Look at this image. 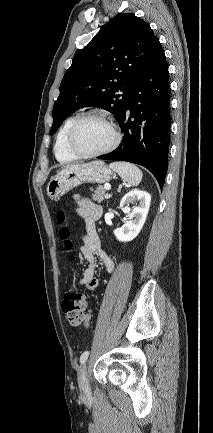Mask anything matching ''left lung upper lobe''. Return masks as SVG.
I'll return each instance as SVG.
<instances>
[{
  "mask_svg": "<svg viewBox=\"0 0 213 433\" xmlns=\"http://www.w3.org/2000/svg\"><path fill=\"white\" fill-rule=\"evenodd\" d=\"M160 42L133 13L118 14L73 58L53 107L51 134L77 109L97 105L121 119L130 92ZM122 91L123 94H117Z\"/></svg>",
  "mask_w": 213,
  "mask_h": 433,
  "instance_id": "obj_1",
  "label": "left lung upper lobe"
}]
</instances>
